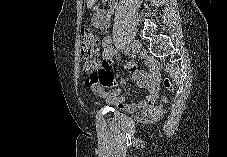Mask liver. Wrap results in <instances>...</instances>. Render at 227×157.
Masks as SVG:
<instances>
[{"instance_id":"liver-1","label":"liver","mask_w":227,"mask_h":157,"mask_svg":"<svg viewBox=\"0 0 227 157\" xmlns=\"http://www.w3.org/2000/svg\"><path fill=\"white\" fill-rule=\"evenodd\" d=\"M95 1L94 0H91V1H88V4H90V3H94Z\"/></svg>"}]
</instances>
